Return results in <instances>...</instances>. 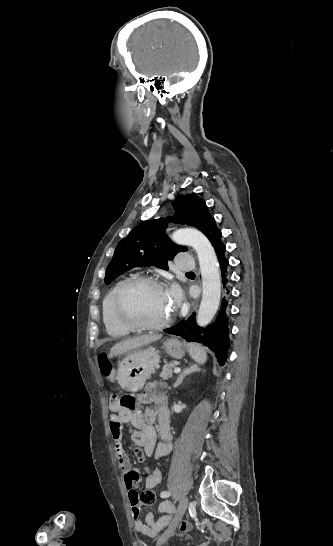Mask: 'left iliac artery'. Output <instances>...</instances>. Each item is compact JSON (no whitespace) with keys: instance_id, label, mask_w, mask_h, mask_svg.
Here are the masks:
<instances>
[{"instance_id":"44dca946","label":"left iliac artery","mask_w":333,"mask_h":546,"mask_svg":"<svg viewBox=\"0 0 333 546\" xmlns=\"http://www.w3.org/2000/svg\"><path fill=\"white\" fill-rule=\"evenodd\" d=\"M162 496H163V497H169V496H170V492H164V493H162Z\"/></svg>"}]
</instances>
